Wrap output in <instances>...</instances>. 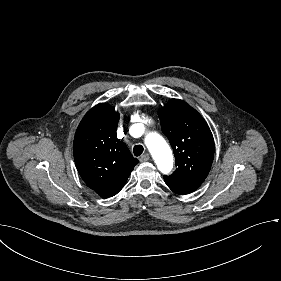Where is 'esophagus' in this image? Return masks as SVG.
<instances>
[{
	"mask_svg": "<svg viewBox=\"0 0 281 281\" xmlns=\"http://www.w3.org/2000/svg\"><path fill=\"white\" fill-rule=\"evenodd\" d=\"M149 159H150V156L148 153H146V154L142 155L139 160L141 162H144V161H148Z\"/></svg>",
	"mask_w": 281,
	"mask_h": 281,
	"instance_id": "obj_1",
	"label": "esophagus"
}]
</instances>
